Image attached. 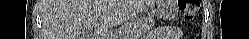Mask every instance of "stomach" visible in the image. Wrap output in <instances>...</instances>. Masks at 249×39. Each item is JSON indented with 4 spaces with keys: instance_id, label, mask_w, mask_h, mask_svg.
Here are the masks:
<instances>
[{
    "instance_id": "obj_1",
    "label": "stomach",
    "mask_w": 249,
    "mask_h": 39,
    "mask_svg": "<svg viewBox=\"0 0 249 39\" xmlns=\"http://www.w3.org/2000/svg\"><path fill=\"white\" fill-rule=\"evenodd\" d=\"M151 12L157 18L170 20L177 13L176 0H155Z\"/></svg>"
}]
</instances>
